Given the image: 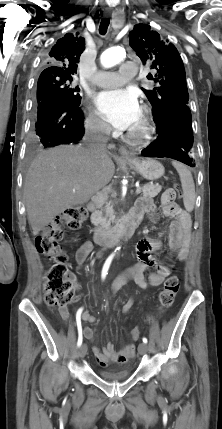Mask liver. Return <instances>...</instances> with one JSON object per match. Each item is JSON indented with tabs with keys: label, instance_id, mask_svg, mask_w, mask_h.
<instances>
[{
	"label": "liver",
	"instance_id": "obj_1",
	"mask_svg": "<svg viewBox=\"0 0 222 429\" xmlns=\"http://www.w3.org/2000/svg\"><path fill=\"white\" fill-rule=\"evenodd\" d=\"M115 166L107 151L82 146L42 151L31 163L24 184L28 222L37 235L56 216L87 203L112 179Z\"/></svg>",
	"mask_w": 222,
	"mask_h": 429
}]
</instances>
